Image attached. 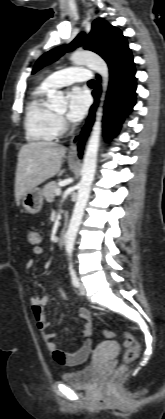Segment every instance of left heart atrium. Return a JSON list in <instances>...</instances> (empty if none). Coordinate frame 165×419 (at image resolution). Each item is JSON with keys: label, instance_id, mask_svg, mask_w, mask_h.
Segmentation results:
<instances>
[{"label": "left heart atrium", "instance_id": "left-heart-atrium-1", "mask_svg": "<svg viewBox=\"0 0 165 419\" xmlns=\"http://www.w3.org/2000/svg\"><path fill=\"white\" fill-rule=\"evenodd\" d=\"M89 101V95L84 89L73 88L68 94V118L72 120L83 118L87 112Z\"/></svg>", "mask_w": 165, "mask_h": 419}]
</instances>
